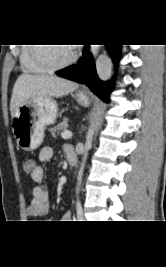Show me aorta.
Returning a JSON list of instances; mask_svg holds the SVG:
<instances>
[{"label":"aorta","instance_id":"762f6f07","mask_svg":"<svg viewBox=\"0 0 166 267\" xmlns=\"http://www.w3.org/2000/svg\"><path fill=\"white\" fill-rule=\"evenodd\" d=\"M99 49H100V45H91L90 46V51L94 57H96L98 55ZM93 135H94V122L91 123V126L89 127V130H88L87 136H86L85 152H84L81 167H80V170H79L78 176H77V188H76L77 195L79 194V191H80V185L82 182V176H83V171H84V167H85V162H86V159L88 156V150L92 147Z\"/></svg>","mask_w":166,"mask_h":267}]
</instances>
